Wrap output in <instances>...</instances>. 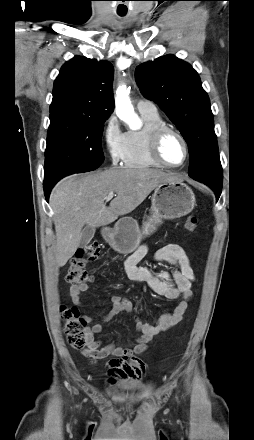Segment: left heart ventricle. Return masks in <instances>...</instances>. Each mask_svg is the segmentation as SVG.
<instances>
[{
    "label": "left heart ventricle",
    "instance_id": "obj_1",
    "mask_svg": "<svg viewBox=\"0 0 254 440\" xmlns=\"http://www.w3.org/2000/svg\"><path fill=\"white\" fill-rule=\"evenodd\" d=\"M161 154L170 164H180L184 160V147L180 139L174 134H167L161 144Z\"/></svg>",
    "mask_w": 254,
    "mask_h": 440
}]
</instances>
